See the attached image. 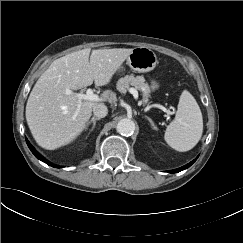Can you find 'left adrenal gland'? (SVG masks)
I'll return each mask as SVG.
<instances>
[{
	"instance_id": "a2214340",
	"label": "left adrenal gland",
	"mask_w": 243,
	"mask_h": 243,
	"mask_svg": "<svg viewBox=\"0 0 243 243\" xmlns=\"http://www.w3.org/2000/svg\"><path fill=\"white\" fill-rule=\"evenodd\" d=\"M146 118H147L148 121L150 122L152 129L157 130V127L155 126V124H154V122L152 121V119L149 118L148 116H146Z\"/></svg>"
}]
</instances>
